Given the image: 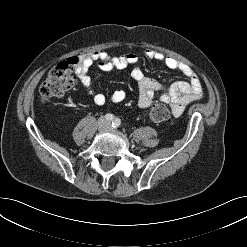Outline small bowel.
Listing matches in <instances>:
<instances>
[{"label": "small bowel", "instance_id": "c3829d8e", "mask_svg": "<svg viewBox=\"0 0 247 247\" xmlns=\"http://www.w3.org/2000/svg\"><path fill=\"white\" fill-rule=\"evenodd\" d=\"M145 56L149 60L162 63L172 70L181 72L188 81L176 82L169 86H164L156 79L146 76L139 66H134L131 70V76L138 85V104L140 107L149 108L159 100L160 102L169 104L172 113L175 116H179L189 103L201 98L202 85L192 68L171 56L153 49H148L145 52ZM138 61L139 58L134 53L110 56L103 51H93L81 57L80 64L76 69V75L94 103L103 105L106 102L105 94L95 92L92 89V81L88 75L91 65L96 63L100 69L112 71L135 65ZM157 93H160L158 98H156ZM125 99L126 92L123 89H118L112 94V100L116 103L123 102Z\"/></svg>", "mask_w": 247, "mask_h": 247}]
</instances>
